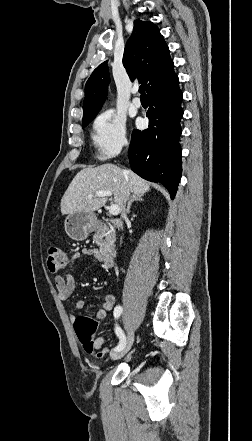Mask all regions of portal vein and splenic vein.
<instances>
[{
	"label": "portal vein and splenic vein",
	"instance_id": "portal-vein-and-splenic-vein-1",
	"mask_svg": "<svg viewBox=\"0 0 252 441\" xmlns=\"http://www.w3.org/2000/svg\"><path fill=\"white\" fill-rule=\"evenodd\" d=\"M112 195V192L111 191H109V190H106V191H97V192H95V194H90V195H88V198H93V197H103V196H111ZM120 207L118 206V205H116V204H112L110 207H109V213L111 214V215H114V216H116V215H118L119 213H120Z\"/></svg>",
	"mask_w": 252,
	"mask_h": 441
}]
</instances>
